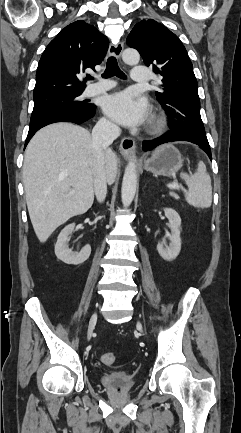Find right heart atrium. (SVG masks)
I'll return each instance as SVG.
<instances>
[{
    "instance_id": "1",
    "label": "right heart atrium",
    "mask_w": 241,
    "mask_h": 433,
    "mask_svg": "<svg viewBox=\"0 0 241 433\" xmlns=\"http://www.w3.org/2000/svg\"><path fill=\"white\" fill-rule=\"evenodd\" d=\"M100 128L106 132H112L114 130V126L107 120H101Z\"/></svg>"
}]
</instances>
